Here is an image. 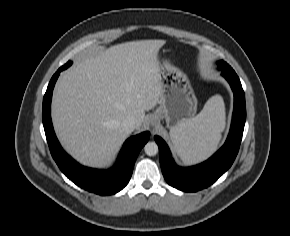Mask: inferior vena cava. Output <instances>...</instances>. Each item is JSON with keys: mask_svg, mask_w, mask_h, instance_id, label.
Wrapping results in <instances>:
<instances>
[{"mask_svg": "<svg viewBox=\"0 0 290 236\" xmlns=\"http://www.w3.org/2000/svg\"><path fill=\"white\" fill-rule=\"evenodd\" d=\"M121 128L127 134L133 132L136 128V120L133 117H127L122 121Z\"/></svg>", "mask_w": 290, "mask_h": 236, "instance_id": "1", "label": "inferior vena cava"}]
</instances>
